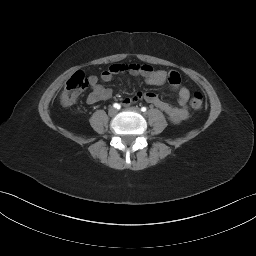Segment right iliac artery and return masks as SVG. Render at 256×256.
I'll return each mask as SVG.
<instances>
[{
	"label": "right iliac artery",
	"instance_id": "obj_1",
	"mask_svg": "<svg viewBox=\"0 0 256 256\" xmlns=\"http://www.w3.org/2000/svg\"><path fill=\"white\" fill-rule=\"evenodd\" d=\"M113 107L116 108V109H120L121 106H120V104H118V103H114V104H113Z\"/></svg>",
	"mask_w": 256,
	"mask_h": 256
}]
</instances>
